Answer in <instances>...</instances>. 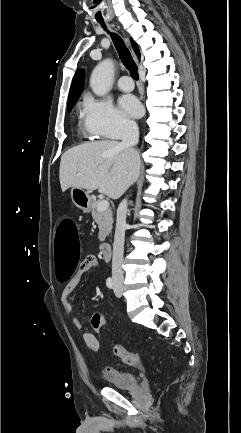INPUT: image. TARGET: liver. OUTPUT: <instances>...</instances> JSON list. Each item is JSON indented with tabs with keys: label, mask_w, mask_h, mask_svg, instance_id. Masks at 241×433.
Masks as SVG:
<instances>
[{
	"label": "liver",
	"mask_w": 241,
	"mask_h": 433,
	"mask_svg": "<svg viewBox=\"0 0 241 433\" xmlns=\"http://www.w3.org/2000/svg\"><path fill=\"white\" fill-rule=\"evenodd\" d=\"M139 155L117 141H98L66 151L60 161L62 192L68 188L98 189L112 199L120 198L139 172Z\"/></svg>",
	"instance_id": "obj_1"
}]
</instances>
